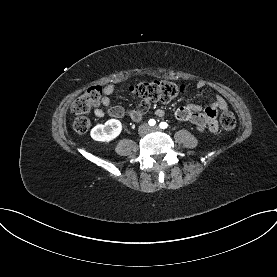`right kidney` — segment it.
Listing matches in <instances>:
<instances>
[{
    "mask_svg": "<svg viewBox=\"0 0 277 277\" xmlns=\"http://www.w3.org/2000/svg\"><path fill=\"white\" fill-rule=\"evenodd\" d=\"M121 130V122L117 119H110L105 124H99L93 127L91 137L95 141L109 142L119 136Z\"/></svg>",
    "mask_w": 277,
    "mask_h": 277,
    "instance_id": "obj_1",
    "label": "right kidney"
}]
</instances>
